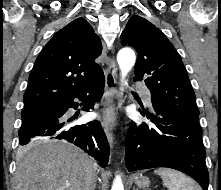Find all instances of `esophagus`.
Returning a JSON list of instances; mask_svg holds the SVG:
<instances>
[{
	"mask_svg": "<svg viewBox=\"0 0 221 190\" xmlns=\"http://www.w3.org/2000/svg\"><path fill=\"white\" fill-rule=\"evenodd\" d=\"M117 77V64L114 59H110L105 70V100L101 123L111 147L113 146V129L115 127V113L112 104L116 95Z\"/></svg>",
	"mask_w": 221,
	"mask_h": 190,
	"instance_id": "esophagus-1",
	"label": "esophagus"
}]
</instances>
